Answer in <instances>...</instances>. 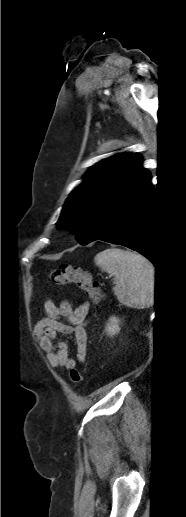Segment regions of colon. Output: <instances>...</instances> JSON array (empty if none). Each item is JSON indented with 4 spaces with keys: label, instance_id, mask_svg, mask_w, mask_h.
<instances>
[{
    "label": "colon",
    "instance_id": "colon-1",
    "mask_svg": "<svg viewBox=\"0 0 186 517\" xmlns=\"http://www.w3.org/2000/svg\"><path fill=\"white\" fill-rule=\"evenodd\" d=\"M50 280L56 285L74 284L82 289L93 302L97 303L102 299V291L100 283L97 280H92L80 268L63 264L54 268L49 273ZM70 378L74 384H79L83 381L82 372L73 367L70 370Z\"/></svg>",
    "mask_w": 186,
    "mask_h": 517
}]
</instances>
